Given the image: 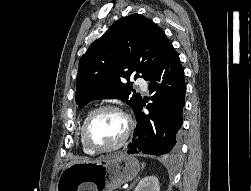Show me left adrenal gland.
<instances>
[{"mask_svg":"<svg viewBox=\"0 0 251 191\" xmlns=\"http://www.w3.org/2000/svg\"><path fill=\"white\" fill-rule=\"evenodd\" d=\"M137 179H139V177H137ZM137 179H135V181H133V183H131V185H129L128 189H131V187H134V185H135Z\"/></svg>","mask_w":251,"mask_h":191,"instance_id":"obj_1","label":"left adrenal gland"}]
</instances>
